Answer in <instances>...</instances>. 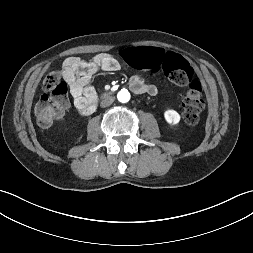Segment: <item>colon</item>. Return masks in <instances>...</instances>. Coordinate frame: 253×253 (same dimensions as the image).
<instances>
[{
  "label": "colon",
  "instance_id": "colon-1",
  "mask_svg": "<svg viewBox=\"0 0 253 253\" xmlns=\"http://www.w3.org/2000/svg\"><path fill=\"white\" fill-rule=\"evenodd\" d=\"M122 65L128 71L145 75H166L173 83L186 85L182 116L188 125H196L204 108L202 84L194 78V70L179 51L162 47H131L121 52ZM44 94L35 105L39 125L49 127L60 118L68 106V85L57 71H49L43 80Z\"/></svg>",
  "mask_w": 253,
  "mask_h": 253
}]
</instances>
